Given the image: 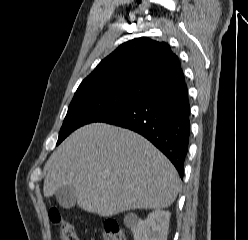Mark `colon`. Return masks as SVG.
Wrapping results in <instances>:
<instances>
[{
	"mask_svg": "<svg viewBox=\"0 0 248 240\" xmlns=\"http://www.w3.org/2000/svg\"><path fill=\"white\" fill-rule=\"evenodd\" d=\"M49 218L58 226L61 240H80L74 224L64 219L57 208L50 209ZM103 240H127V237L115 220H108L104 225Z\"/></svg>",
	"mask_w": 248,
	"mask_h": 240,
	"instance_id": "5ec220e1",
	"label": "colon"
}]
</instances>
